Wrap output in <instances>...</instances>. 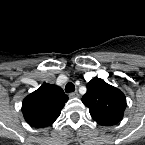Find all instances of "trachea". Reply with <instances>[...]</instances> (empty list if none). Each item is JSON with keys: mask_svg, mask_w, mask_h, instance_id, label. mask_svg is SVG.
I'll return each instance as SVG.
<instances>
[{"mask_svg": "<svg viewBox=\"0 0 145 145\" xmlns=\"http://www.w3.org/2000/svg\"><path fill=\"white\" fill-rule=\"evenodd\" d=\"M75 91V86L73 83L69 82L66 84L65 86V92L66 93H71V92H74Z\"/></svg>", "mask_w": 145, "mask_h": 145, "instance_id": "obj_1", "label": "trachea"}]
</instances>
